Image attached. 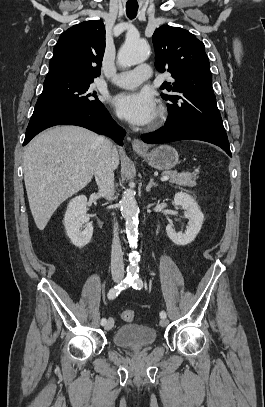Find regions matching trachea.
Masks as SVG:
<instances>
[{"instance_id":"trachea-1","label":"trachea","mask_w":265,"mask_h":407,"mask_svg":"<svg viewBox=\"0 0 265 407\" xmlns=\"http://www.w3.org/2000/svg\"><path fill=\"white\" fill-rule=\"evenodd\" d=\"M126 10H127V16L130 19H134L136 17V15H137L138 7L127 6Z\"/></svg>"}]
</instances>
